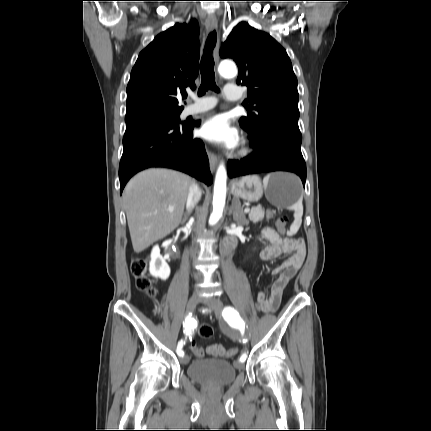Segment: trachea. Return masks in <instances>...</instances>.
<instances>
[{"mask_svg":"<svg viewBox=\"0 0 431 431\" xmlns=\"http://www.w3.org/2000/svg\"><path fill=\"white\" fill-rule=\"evenodd\" d=\"M217 34L215 30L209 33L206 47L204 50V55L202 56L200 69H201V85L198 90V95L202 96L209 89L219 92L218 87L215 83V73H214V59L212 57V50L216 45Z\"/></svg>","mask_w":431,"mask_h":431,"instance_id":"obj_1","label":"trachea"}]
</instances>
